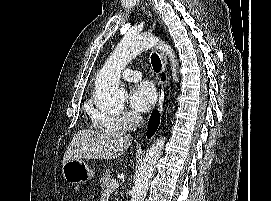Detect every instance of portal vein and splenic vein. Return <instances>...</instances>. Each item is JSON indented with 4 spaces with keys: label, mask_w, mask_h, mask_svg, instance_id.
I'll use <instances>...</instances> for the list:
<instances>
[{
    "label": "portal vein and splenic vein",
    "mask_w": 271,
    "mask_h": 201,
    "mask_svg": "<svg viewBox=\"0 0 271 201\" xmlns=\"http://www.w3.org/2000/svg\"><path fill=\"white\" fill-rule=\"evenodd\" d=\"M119 183L117 181H112L110 185L106 188V190H113L115 188H118Z\"/></svg>",
    "instance_id": "18ae733b"
}]
</instances>
